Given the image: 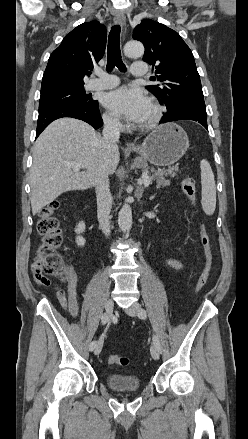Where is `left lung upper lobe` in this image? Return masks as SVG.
<instances>
[{
  "mask_svg": "<svg viewBox=\"0 0 248 439\" xmlns=\"http://www.w3.org/2000/svg\"><path fill=\"white\" fill-rule=\"evenodd\" d=\"M133 39L145 47L143 61L155 66L153 81L146 86L167 107V113L182 106L206 109L193 54L180 35L153 20H142L134 28Z\"/></svg>",
  "mask_w": 248,
  "mask_h": 439,
  "instance_id": "obj_1",
  "label": "left lung upper lobe"
}]
</instances>
